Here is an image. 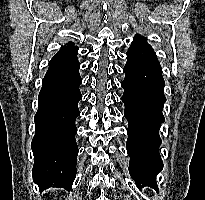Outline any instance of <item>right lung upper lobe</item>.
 Listing matches in <instances>:
<instances>
[{
    "label": "right lung upper lobe",
    "mask_w": 205,
    "mask_h": 200,
    "mask_svg": "<svg viewBox=\"0 0 205 200\" xmlns=\"http://www.w3.org/2000/svg\"><path fill=\"white\" fill-rule=\"evenodd\" d=\"M64 47H66V46H64ZM67 47H74V46H73V43H72V42H69V44H68Z\"/></svg>",
    "instance_id": "obj_1"
}]
</instances>
